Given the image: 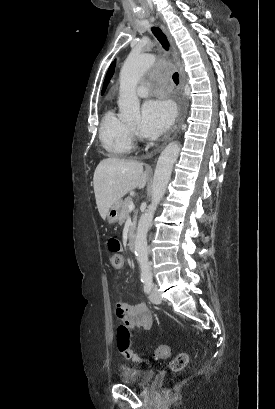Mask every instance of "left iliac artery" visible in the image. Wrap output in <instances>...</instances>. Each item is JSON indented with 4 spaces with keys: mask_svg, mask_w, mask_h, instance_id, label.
I'll return each instance as SVG.
<instances>
[{
    "mask_svg": "<svg viewBox=\"0 0 275 409\" xmlns=\"http://www.w3.org/2000/svg\"><path fill=\"white\" fill-rule=\"evenodd\" d=\"M153 285L152 279L149 278L147 281L144 282V291L146 293H149L151 291V287Z\"/></svg>",
    "mask_w": 275,
    "mask_h": 409,
    "instance_id": "obj_1",
    "label": "left iliac artery"
}]
</instances>
